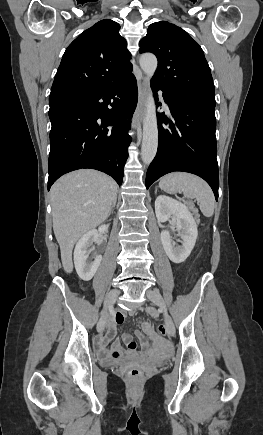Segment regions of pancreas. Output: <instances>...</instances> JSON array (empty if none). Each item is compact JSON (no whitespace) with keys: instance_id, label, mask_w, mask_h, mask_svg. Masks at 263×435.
<instances>
[{"instance_id":"obj_1","label":"pancreas","mask_w":263,"mask_h":435,"mask_svg":"<svg viewBox=\"0 0 263 435\" xmlns=\"http://www.w3.org/2000/svg\"><path fill=\"white\" fill-rule=\"evenodd\" d=\"M189 208L193 211L194 215L198 217V210L195 208L194 204L189 203Z\"/></svg>"}]
</instances>
